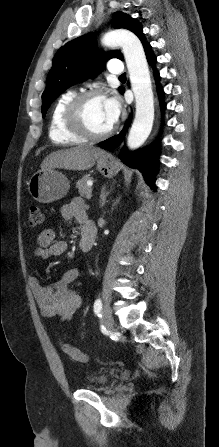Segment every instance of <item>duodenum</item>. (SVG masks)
<instances>
[{
  "label": "duodenum",
  "mask_w": 219,
  "mask_h": 447,
  "mask_svg": "<svg viewBox=\"0 0 219 447\" xmlns=\"http://www.w3.org/2000/svg\"><path fill=\"white\" fill-rule=\"evenodd\" d=\"M96 237V226L95 223L86 217L83 220V230H82V243L81 249L84 252H88Z\"/></svg>",
  "instance_id": "1"
}]
</instances>
